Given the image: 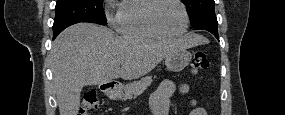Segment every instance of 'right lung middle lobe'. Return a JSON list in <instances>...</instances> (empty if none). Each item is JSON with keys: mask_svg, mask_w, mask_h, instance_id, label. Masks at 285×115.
<instances>
[{"mask_svg": "<svg viewBox=\"0 0 285 115\" xmlns=\"http://www.w3.org/2000/svg\"><path fill=\"white\" fill-rule=\"evenodd\" d=\"M103 0H57L53 31L65 29L78 22L106 25Z\"/></svg>", "mask_w": 285, "mask_h": 115, "instance_id": "dd1d6c3e", "label": "right lung middle lobe"}]
</instances>
